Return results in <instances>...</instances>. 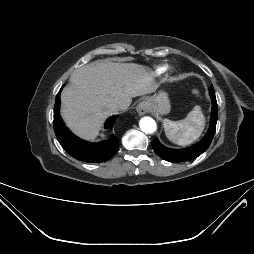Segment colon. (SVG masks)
I'll return each instance as SVG.
<instances>
[{
	"label": "colon",
	"instance_id": "5ec220e1",
	"mask_svg": "<svg viewBox=\"0 0 254 254\" xmlns=\"http://www.w3.org/2000/svg\"><path fill=\"white\" fill-rule=\"evenodd\" d=\"M193 94L196 96V97H199L200 96V93L197 89H193Z\"/></svg>",
	"mask_w": 254,
	"mask_h": 254
}]
</instances>
